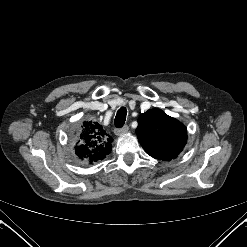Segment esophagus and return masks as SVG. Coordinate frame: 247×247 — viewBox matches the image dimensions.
Wrapping results in <instances>:
<instances>
[{
  "label": "esophagus",
  "mask_w": 247,
  "mask_h": 247,
  "mask_svg": "<svg viewBox=\"0 0 247 247\" xmlns=\"http://www.w3.org/2000/svg\"><path fill=\"white\" fill-rule=\"evenodd\" d=\"M128 130H129V127L126 125V126H124L122 128L115 129V134L118 135V136L124 135V134H126L128 132Z\"/></svg>",
  "instance_id": "1"
}]
</instances>
